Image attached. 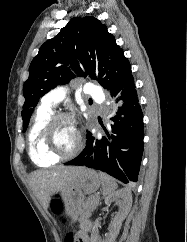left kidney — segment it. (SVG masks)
Segmentation results:
<instances>
[{
  "label": "left kidney",
  "instance_id": "5707ae66",
  "mask_svg": "<svg viewBox=\"0 0 187 242\" xmlns=\"http://www.w3.org/2000/svg\"><path fill=\"white\" fill-rule=\"evenodd\" d=\"M112 202H117L119 204V211L116 214L114 221L110 224L109 234L106 235V239L102 240L99 236V223L96 221L94 223L92 233H91V242H114L117 237L122 222L126 218L127 214L130 211L132 206V193L129 189H119L115 191L110 196L106 197L105 204L109 205Z\"/></svg>",
  "mask_w": 187,
  "mask_h": 242
}]
</instances>
